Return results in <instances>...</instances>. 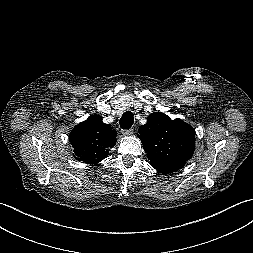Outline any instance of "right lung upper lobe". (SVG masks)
<instances>
[{
    "mask_svg": "<svg viewBox=\"0 0 253 253\" xmlns=\"http://www.w3.org/2000/svg\"><path fill=\"white\" fill-rule=\"evenodd\" d=\"M116 131L105 124L99 115H91L79 123L70 133L69 141L74 157L87 164H97L108 155V149L116 144Z\"/></svg>",
    "mask_w": 253,
    "mask_h": 253,
    "instance_id": "1",
    "label": "right lung upper lobe"
}]
</instances>
